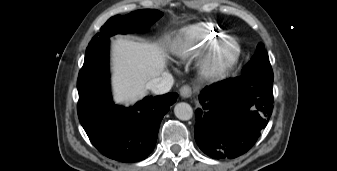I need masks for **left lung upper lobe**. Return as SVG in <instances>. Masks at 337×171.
<instances>
[{"label": "left lung upper lobe", "mask_w": 337, "mask_h": 171, "mask_svg": "<svg viewBox=\"0 0 337 171\" xmlns=\"http://www.w3.org/2000/svg\"><path fill=\"white\" fill-rule=\"evenodd\" d=\"M241 74H256L263 76H273L268 54L262 43H259L257 50L251 60L243 67Z\"/></svg>", "instance_id": "1"}]
</instances>
